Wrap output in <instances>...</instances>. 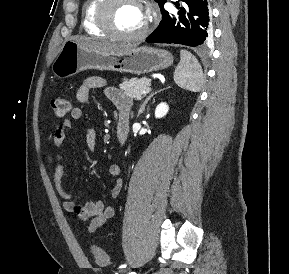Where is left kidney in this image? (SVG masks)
<instances>
[{
  "label": "left kidney",
  "instance_id": "obj_1",
  "mask_svg": "<svg viewBox=\"0 0 289 274\" xmlns=\"http://www.w3.org/2000/svg\"><path fill=\"white\" fill-rule=\"evenodd\" d=\"M169 111V107L165 102H161L159 105H157L155 109V117L156 118H162L164 117Z\"/></svg>",
  "mask_w": 289,
  "mask_h": 274
}]
</instances>
